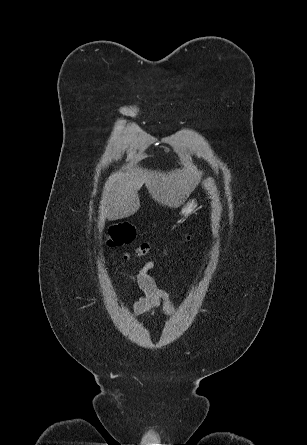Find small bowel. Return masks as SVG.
<instances>
[{"mask_svg":"<svg viewBox=\"0 0 307 445\" xmlns=\"http://www.w3.org/2000/svg\"><path fill=\"white\" fill-rule=\"evenodd\" d=\"M154 262L149 261L141 269L124 275L127 283H136L144 295L132 304L135 314L149 313L162 305L165 313L170 316L174 313V307L170 294L159 288L150 276L149 272L154 268Z\"/></svg>","mask_w":307,"mask_h":445,"instance_id":"c3829d8e","label":"small bowel"}]
</instances>
